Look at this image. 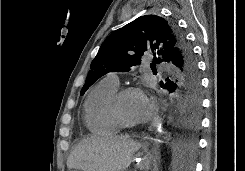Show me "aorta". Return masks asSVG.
<instances>
[{
  "label": "aorta",
  "instance_id": "1",
  "mask_svg": "<svg viewBox=\"0 0 245 171\" xmlns=\"http://www.w3.org/2000/svg\"><path fill=\"white\" fill-rule=\"evenodd\" d=\"M174 99H176V96L173 97ZM168 122L171 123L174 121V115H170L169 118H168ZM166 142H169L170 138H171V134L166 132Z\"/></svg>",
  "mask_w": 245,
  "mask_h": 171
}]
</instances>
